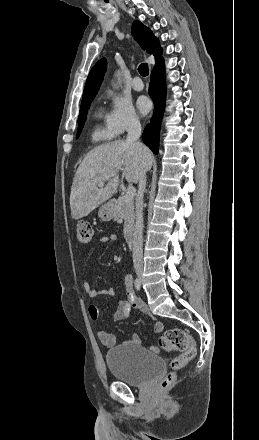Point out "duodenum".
<instances>
[{
    "instance_id": "1",
    "label": "duodenum",
    "mask_w": 259,
    "mask_h": 440,
    "mask_svg": "<svg viewBox=\"0 0 259 440\" xmlns=\"http://www.w3.org/2000/svg\"><path fill=\"white\" fill-rule=\"evenodd\" d=\"M126 243L129 247L133 245V234L132 232H128L125 236Z\"/></svg>"
}]
</instances>
